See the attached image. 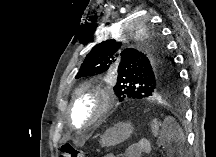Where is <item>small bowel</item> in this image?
I'll list each match as a JSON object with an SVG mask.
<instances>
[{"mask_svg": "<svg viewBox=\"0 0 216 157\" xmlns=\"http://www.w3.org/2000/svg\"><path fill=\"white\" fill-rule=\"evenodd\" d=\"M144 149L145 148L143 146L136 144L134 146H130L127 149H125L122 155L124 157H138L144 153Z\"/></svg>", "mask_w": 216, "mask_h": 157, "instance_id": "small-bowel-1", "label": "small bowel"}]
</instances>
